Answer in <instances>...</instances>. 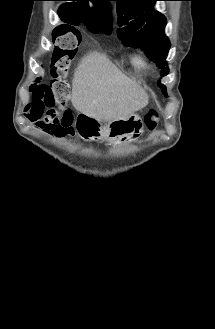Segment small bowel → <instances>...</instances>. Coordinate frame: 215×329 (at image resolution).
<instances>
[{
    "label": "small bowel",
    "instance_id": "small-bowel-1",
    "mask_svg": "<svg viewBox=\"0 0 215 329\" xmlns=\"http://www.w3.org/2000/svg\"><path fill=\"white\" fill-rule=\"evenodd\" d=\"M70 118H72L69 113ZM65 114H30L27 113L28 120L38 129L44 131L47 134L66 137L71 134V130L68 127L62 125Z\"/></svg>",
    "mask_w": 215,
    "mask_h": 329
}]
</instances>
